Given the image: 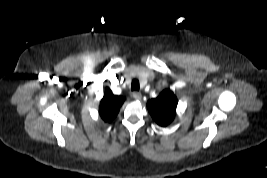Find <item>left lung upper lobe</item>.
I'll return each instance as SVG.
<instances>
[{"instance_id": "obj_1", "label": "left lung upper lobe", "mask_w": 267, "mask_h": 178, "mask_svg": "<svg viewBox=\"0 0 267 178\" xmlns=\"http://www.w3.org/2000/svg\"><path fill=\"white\" fill-rule=\"evenodd\" d=\"M147 106L156 123L160 126H167L174 118L177 100L169 90H164L157 98L151 99Z\"/></svg>"}]
</instances>
